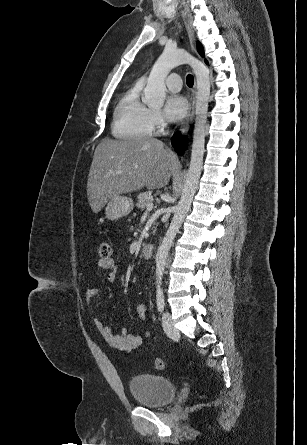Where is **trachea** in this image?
<instances>
[{"instance_id": "obj_1", "label": "trachea", "mask_w": 307, "mask_h": 445, "mask_svg": "<svg viewBox=\"0 0 307 445\" xmlns=\"http://www.w3.org/2000/svg\"><path fill=\"white\" fill-rule=\"evenodd\" d=\"M186 83H187L188 87L191 88L193 86V84H194V77L192 75H190V74L187 75Z\"/></svg>"}]
</instances>
